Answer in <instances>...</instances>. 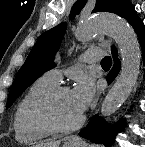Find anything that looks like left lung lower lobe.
<instances>
[{
    "label": "left lung lower lobe",
    "mask_w": 145,
    "mask_h": 147,
    "mask_svg": "<svg viewBox=\"0 0 145 147\" xmlns=\"http://www.w3.org/2000/svg\"><path fill=\"white\" fill-rule=\"evenodd\" d=\"M123 17L132 25L136 34L138 35L142 51H143V60L145 63V32H144V24L141 19L137 16L136 11L134 10L133 5H129ZM113 59H114V66L109 72L107 76L108 83H111L117 74L120 71V61L118 60V53L115 48L111 49ZM124 125V121L121 119L119 120L114 127L109 128L106 125L104 119L99 118L95 115L86 128H84L81 133L79 134L81 137L85 139H89L93 143L104 144L105 146L110 145L113 142L114 136L117 134L119 130Z\"/></svg>",
    "instance_id": "0a47b994"
}]
</instances>
